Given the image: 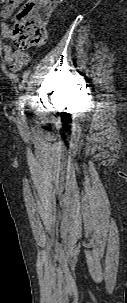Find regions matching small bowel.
<instances>
[{"label":"small bowel","mask_w":127,"mask_h":303,"mask_svg":"<svg viewBox=\"0 0 127 303\" xmlns=\"http://www.w3.org/2000/svg\"><path fill=\"white\" fill-rule=\"evenodd\" d=\"M22 2L23 0H13L12 3L0 11V31L2 37L5 39L11 37V30L6 21L12 17L14 11ZM2 50L5 55V61L10 66V69L12 71H20L29 62V56L23 50L13 49L10 45L7 44H4L2 46Z\"/></svg>","instance_id":"small-bowel-1"}]
</instances>
